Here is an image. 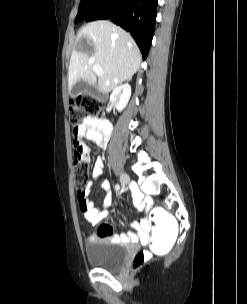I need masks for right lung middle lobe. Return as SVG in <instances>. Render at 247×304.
<instances>
[{"mask_svg":"<svg viewBox=\"0 0 247 304\" xmlns=\"http://www.w3.org/2000/svg\"><path fill=\"white\" fill-rule=\"evenodd\" d=\"M104 2V0H81L75 23L87 19Z\"/></svg>","mask_w":247,"mask_h":304,"instance_id":"dd1d6c3e","label":"right lung middle lobe"}]
</instances>
